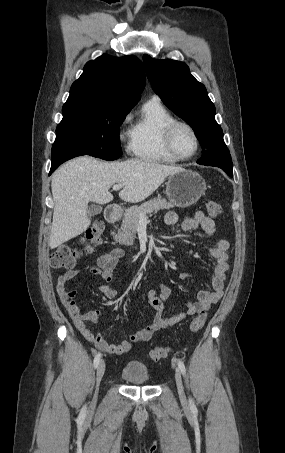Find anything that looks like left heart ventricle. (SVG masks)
<instances>
[{
  "label": "left heart ventricle",
  "mask_w": 285,
  "mask_h": 453,
  "mask_svg": "<svg viewBox=\"0 0 285 453\" xmlns=\"http://www.w3.org/2000/svg\"><path fill=\"white\" fill-rule=\"evenodd\" d=\"M174 146L182 155H190L195 150V141L188 129L185 127L177 128L174 134Z\"/></svg>",
  "instance_id": "left-heart-ventricle-1"
}]
</instances>
